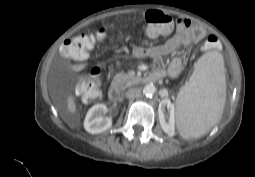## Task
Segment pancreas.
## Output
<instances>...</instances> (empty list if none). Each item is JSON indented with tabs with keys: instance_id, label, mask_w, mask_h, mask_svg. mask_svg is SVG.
<instances>
[{
	"instance_id": "pancreas-1",
	"label": "pancreas",
	"mask_w": 255,
	"mask_h": 177,
	"mask_svg": "<svg viewBox=\"0 0 255 177\" xmlns=\"http://www.w3.org/2000/svg\"><path fill=\"white\" fill-rule=\"evenodd\" d=\"M139 80L140 78L137 76L120 72L114 76L111 85L115 88H120L121 90H124L127 87L137 84Z\"/></svg>"
}]
</instances>
